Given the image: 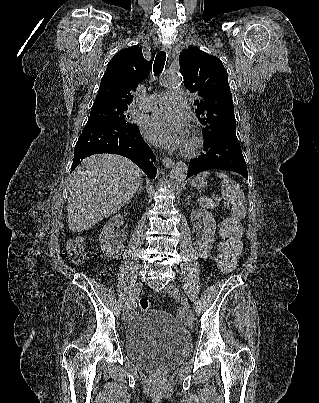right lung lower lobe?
I'll list each match as a JSON object with an SVG mask.
<instances>
[{"instance_id":"right-lung-lower-lobe-1","label":"right lung lower lobe","mask_w":319,"mask_h":403,"mask_svg":"<svg viewBox=\"0 0 319 403\" xmlns=\"http://www.w3.org/2000/svg\"><path fill=\"white\" fill-rule=\"evenodd\" d=\"M98 153L122 155L137 164L149 178L156 176L157 170L152 164L156 157L143 140L137 125L87 123L75 145L72 170L80 160Z\"/></svg>"}]
</instances>
